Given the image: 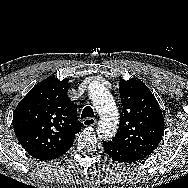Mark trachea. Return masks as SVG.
<instances>
[{
    "label": "trachea",
    "mask_w": 188,
    "mask_h": 188,
    "mask_svg": "<svg viewBox=\"0 0 188 188\" xmlns=\"http://www.w3.org/2000/svg\"><path fill=\"white\" fill-rule=\"evenodd\" d=\"M82 118H91L94 117L93 109L90 106H87L83 109L81 114Z\"/></svg>",
    "instance_id": "1"
}]
</instances>
